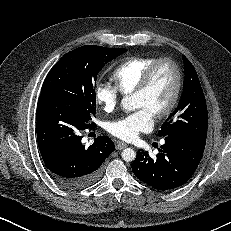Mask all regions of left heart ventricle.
I'll use <instances>...</instances> for the list:
<instances>
[{"label": "left heart ventricle", "mask_w": 231, "mask_h": 231, "mask_svg": "<svg viewBox=\"0 0 231 231\" xmlns=\"http://www.w3.org/2000/svg\"><path fill=\"white\" fill-rule=\"evenodd\" d=\"M174 83L172 67L166 63L160 64L147 91L133 96L135 108H147L152 113L164 108L171 98Z\"/></svg>", "instance_id": "left-heart-ventricle-1"}]
</instances>
